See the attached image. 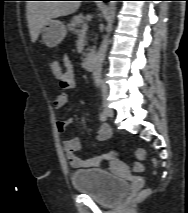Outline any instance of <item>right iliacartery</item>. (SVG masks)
Here are the masks:
<instances>
[{
    "label": "right iliac artery",
    "instance_id": "1",
    "mask_svg": "<svg viewBox=\"0 0 188 213\" xmlns=\"http://www.w3.org/2000/svg\"><path fill=\"white\" fill-rule=\"evenodd\" d=\"M108 118V115H107V112L106 111H103L100 113V120L101 121H106Z\"/></svg>",
    "mask_w": 188,
    "mask_h": 213
}]
</instances>
